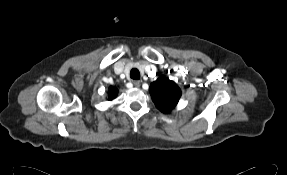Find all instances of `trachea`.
I'll use <instances>...</instances> for the list:
<instances>
[{"label": "trachea", "mask_w": 287, "mask_h": 175, "mask_svg": "<svg viewBox=\"0 0 287 175\" xmlns=\"http://www.w3.org/2000/svg\"><path fill=\"white\" fill-rule=\"evenodd\" d=\"M130 77L132 79H135V80H138L140 79V72L138 69L136 68H133L131 71H130Z\"/></svg>", "instance_id": "obj_1"}]
</instances>
